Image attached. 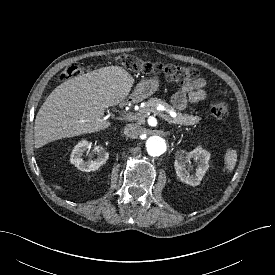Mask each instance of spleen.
Here are the masks:
<instances>
[{
  "label": "spleen",
  "instance_id": "obj_1",
  "mask_svg": "<svg viewBox=\"0 0 275 275\" xmlns=\"http://www.w3.org/2000/svg\"><path fill=\"white\" fill-rule=\"evenodd\" d=\"M224 161L226 164V168L228 169V171L231 172L234 169L237 161L236 150H227V152L224 155Z\"/></svg>",
  "mask_w": 275,
  "mask_h": 275
}]
</instances>
